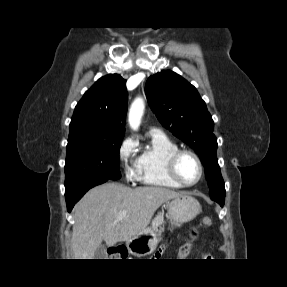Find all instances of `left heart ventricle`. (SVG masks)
<instances>
[{"mask_svg": "<svg viewBox=\"0 0 287 287\" xmlns=\"http://www.w3.org/2000/svg\"><path fill=\"white\" fill-rule=\"evenodd\" d=\"M178 174L185 183H193L199 177V168L196 161L188 155L180 158L177 165Z\"/></svg>", "mask_w": 287, "mask_h": 287, "instance_id": "1", "label": "left heart ventricle"}]
</instances>
